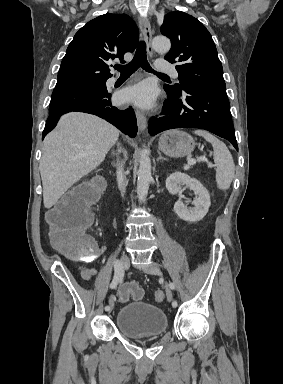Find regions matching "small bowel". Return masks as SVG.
<instances>
[{
	"label": "small bowel",
	"mask_w": 283,
	"mask_h": 384,
	"mask_svg": "<svg viewBox=\"0 0 283 384\" xmlns=\"http://www.w3.org/2000/svg\"><path fill=\"white\" fill-rule=\"evenodd\" d=\"M97 255H98V251H97ZM96 255V256H97ZM79 272L82 276V278L84 280H90L95 274H96V270L92 267H89L88 265H81L80 268H79ZM126 284H135L133 282H129V283H126Z\"/></svg>",
	"instance_id": "c3829d8e"
}]
</instances>
